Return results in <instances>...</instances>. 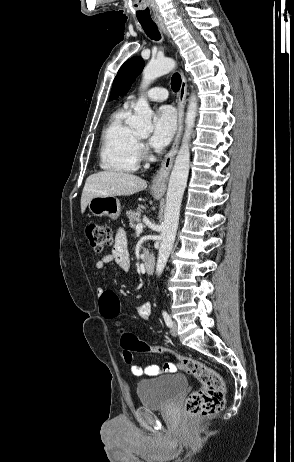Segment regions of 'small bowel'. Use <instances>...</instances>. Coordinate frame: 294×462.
Instances as JSON below:
<instances>
[{
  "label": "small bowel",
  "mask_w": 294,
  "mask_h": 462,
  "mask_svg": "<svg viewBox=\"0 0 294 462\" xmlns=\"http://www.w3.org/2000/svg\"><path fill=\"white\" fill-rule=\"evenodd\" d=\"M111 262L116 263L125 272L130 269L131 262L127 248V239L123 230L118 231L116 234L112 252L102 257L101 260L97 261L95 268L99 271H102L104 270L105 265ZM104 291L105 290L103 288L98 289V293L100 295ZM134 310L138 317L144 321H148L152 312V304L151 302H144L134 306ZM177 369V365L172 361L166 362L163 367H160L156 364H147L145 367L137 364L131 366V372L135 376H141L143 374L147 376H157L162 373H175Z\"/></svg>",
  "instance_id": "1"
}]
</instances>
